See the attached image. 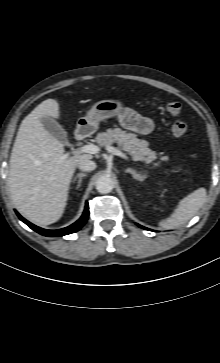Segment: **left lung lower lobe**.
Instances as JSON below:
<instances>
[{
    "label": "left lung lower lobe",
    "instance_id": "1",
    "mask_svg": "<svg viewBox=\"0 0 220 363\" xmlns=\"http://www.w3.org/2000/svg\"><path fill=\"white\" fill-rule=\"evenodd\" d=\"M138 225V224H137ZM139 227H141V228H144V229H147V228H145V227H143V226H141V225H138Z\"/></svg>",
    "mask_w": 220,
    "mask_h": 363
}]
</instances>
